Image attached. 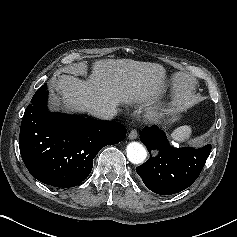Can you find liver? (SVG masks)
<instances>
[{"mask_svg": "<svg viewBox=\"0 0 237 237\" xmlns=\"http://www.w3.org/2000/svg\"><path fill=\"white\" fill-rule=\"evenodd\" d=\"M91 69L86 80L71 75L58 78L55 90L65 108L91 113L132 100L149 103L165 77L162 65L131 59H103L94 62Z\"/></svg>", "mask_w": 237, "mask_h": 237, "instance_id": "liver-1", "label": "liver"}]
</instances>
